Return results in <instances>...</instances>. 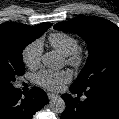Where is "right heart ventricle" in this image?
<instances>
[{
  "label": "right heart ventricle",
  "instance_id": "obj_1",
  "mask_svg": "<svg viewBox=\"0 0 119 119\" xmlns=\"http://www.w3.org/2000/svg\"><path fill=\"white\" fill-rule=\"evenodd\" d=\"M50 45L64 56H67L79 48L78 40L64 32H55L49 36Z\"/></svg>",
  "mask_w": 119,
  "mask_h": 119
}]
</instances>
